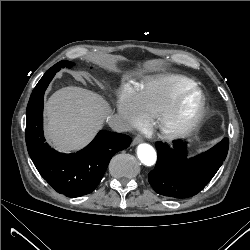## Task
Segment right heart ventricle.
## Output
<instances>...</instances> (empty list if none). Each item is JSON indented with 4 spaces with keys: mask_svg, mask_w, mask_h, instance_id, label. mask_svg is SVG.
<instances>
[{
    "mask_svg": "<svg viewBox=\"0 0 250 250\" xmlns=\"http://www.w3.org/2000/svg\"><path fill=\"white\" fill-rule=\"evenodd\" d=\"M191 85H194L191 78L179 74L159 75L142 82L135 94L143 108L146 121L156 119L179 92Z\"/></svg>",
    "mask_w": 250,
    "mask_h": 250,
    "instance_id": "e07e8e85",
    "label": "right heart ventricle"
}]
</instances>
